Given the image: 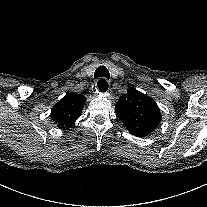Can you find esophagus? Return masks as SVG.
Instances as JSON below:
<instances>
[{"instance_id": "1", "label": "esophagus", "mask_w": 207, "mask_h": 207, "mask_svg": "<svg viewBox=\"0 0 207 207\" xmlns=\"http://www.w3.org/2000/svg\"><path fill=\"white\" fill-rule=\"evenodd\" d=\"M99 80H100V82L98 83L97 88H98V90H99L100 92L103 93V95H106V92L109 90L110 85H109V83L107 82V80L104 79V78H101V79H99ZM99 80H98V81H99ZM99 91H98V93H99Z\"/></svg>"}]
</instances>
